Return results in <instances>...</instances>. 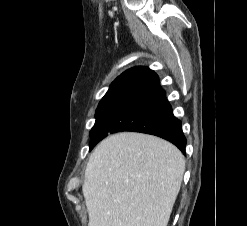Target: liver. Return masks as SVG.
<instances>
[{"mask_svg": "<svg viewBox=\"0 0 247 226\" xmlns=\"http://www.w3.org/2000/svg\"><path fill=\"white\" fill-rule=\"evenodd\" d=\"M184 171V156L163 139L132 132L107 137L85 169L88 226H167Z\"/></svg>", "mask_w": 247, "mask_h": 226, "instance_id": "1", "label": "liver"}]
</instances>
